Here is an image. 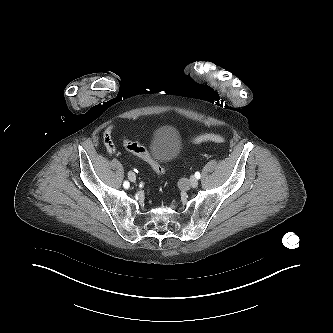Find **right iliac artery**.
Returning <instances> with one entry per match:
<instances>
[{
	"label": "right iliac artery",
	"mask_w": 333,
	"mask_h": 333,
	"mask_svg": "<svg viewBox=\"0 0 333 333\" xmlns=\"http://www.w3.org/2000/svg\"><path fill=\"white\" fill-rule=\"evenodd\" d=\"M129 186H130L129 182H128V181H124V183H123V187H124L125 189H128Z\"/></svg>",
	"instance_id": "82829eb1"
}]
</instances>
